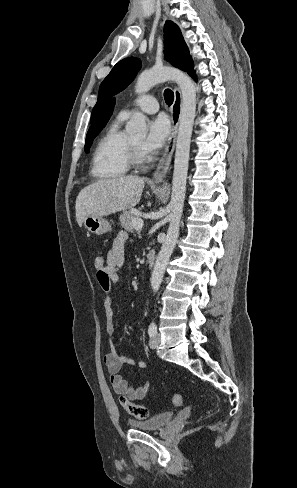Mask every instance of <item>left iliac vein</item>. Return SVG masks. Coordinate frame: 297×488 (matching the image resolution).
Wrapping results in <instances>:
<instances>
[{"mask_svg": "<svg viewBox=\"0 0 297 488\" xmlns=\"http://www.w3.org/2000/svg\"><path fill=\"white\" fill-rule=\"evenodd\" d=\"M160 340H161V336L159 333H156L151 339H150V342H149V345H150V348L152 349H156L160 343Z\"/></svg>", "mask_w": 297, "mask_h": 488, "instance_id": "1", "label": "left iliac vein"}]
</instances>
